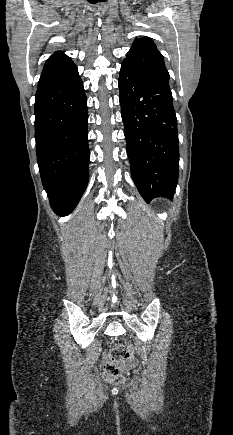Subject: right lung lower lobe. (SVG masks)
I'll use <instances>...</instances> for the list:
<instances>
[{
    "label": "right lung lower lobe",
    "instance_id": "1",
    "mask_svg": "<svg viewBox=\"0 0 233 435\" xmlns=\"http://www.w3.org/2000/svg\"><path fill=\"white\" fill-rule=\"evenodd\" d=\"M87 122V98L78 73L36 93L37 162L57 213L72 212L88 184Z\"/></svg>",
    "mask_w": 233,
    "mask_h": 435
}]
</instances>
